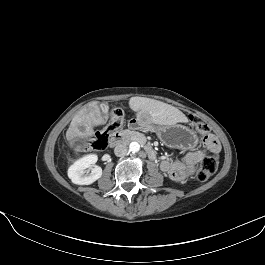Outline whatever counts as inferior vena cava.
Masks as SVG:
<instances>
[{"label": "inferior vena cava", "mask_w": 265, "mask_h": 265, "mask_svg": "<svg viewBox=\"0 0 265 265\" xmlns=\"http://www.w3.org/2000/svg\"><path fill=\"white\" fill-rule=\"evenodd\" d=\"M128 147L125 144H119L115 147L114 153L118 157L125 156L127 154Z\"/></svg>", "instance_id": "obj_1"}]
</instances>
